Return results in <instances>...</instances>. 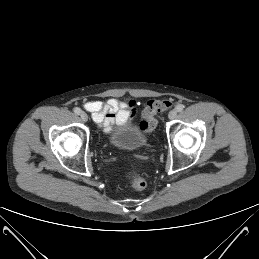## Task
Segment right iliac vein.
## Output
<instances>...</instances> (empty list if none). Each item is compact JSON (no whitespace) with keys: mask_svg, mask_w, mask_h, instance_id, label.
Here are the masks:
<instances>
[{"mask_svg":"<svg viewBox=\"0 0 259 259\" xmlns=\"http://www.w3.org/2000/svg\"><path fill=\"white\" fill-rule=\"evenodd\" d=\"M80 118L83 122H87L88 121V116L85 112H81L80 113Z\"/></svg>","mask_w":259,"mask_h":259,"instance_id":"63e3f726","label":"right iliac vein"}]
</instances>
